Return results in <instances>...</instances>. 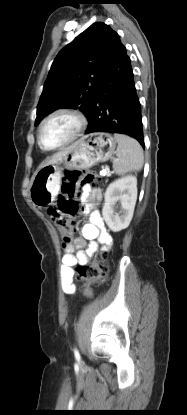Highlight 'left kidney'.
<instances>
[{"label":"left kidney","mask_w":187,"mask_h":415,"mask_svg":"<svg viewBox=\"0 0 187 415\" xmlns=\"http://www.w3.org/2000/svg\"><path fill=\"white\" fill-rule=\"evenodd\" d=\"M104 198L102 215L107 226L113 232L127 228L137 200V178L126 176L113 181L107 187ZM117 202L119 205H116Z\"/></svg>","instance_id":"obj_1"}]
</instances>
